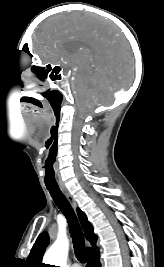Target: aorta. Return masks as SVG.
Here are the masks:
<instances>
[{
    "instance_id": "762f6f07",
    "label": "aorta",
    "mask_w": 164,
    "mask_h": 267,
    "mask_svg": "<svg viewBox=\"0 0 164 267\" xmlns=\"http://www.w3.org/2000/svg\"><path fill=\"white\" fill-rule=\"evenodd\" d=\"M68 250V239L66 237H58L54 244L45 253L43 261L49 265L65 267Z\"/></svg>"
}]
</instances>
